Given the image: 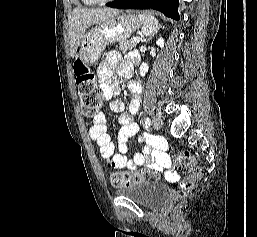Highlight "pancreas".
<instances>
[{
  "label": "pancreas",
  "instance_id": "cf45deb5",
  "mask_svg": "<svg viewBox=\"0 0 257 237\" xmlns=\"http://www.w3.org/2000/svg\"><path fill=\"white\" fill-rule=\"evenodd\" d=\"M117 47L125 53L127 50H131L136 47V42L134 39L124 40L121 41Z\"/></svg>",
  "mask_w": 257,
  "mask_h": 237
}]
</instances>
